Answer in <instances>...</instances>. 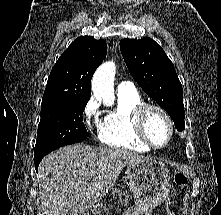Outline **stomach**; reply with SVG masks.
<instances>
[{"label":"stomach","mask_w":221,"mask_h":215,"mask_svg":"<svg viewBox=\"0 0 221 215\" xmlns=\"http://www.w3.org/2000/svg\"><path fill=\"white\" fill-rule=\"evenodd\" d=\"M126 175L135 205L125 215H151L152 210L169 196V169L159 160L149 158L131 163L127 165Z\"/></svg>","instance_id":"stomach-1"}]
</instances>
